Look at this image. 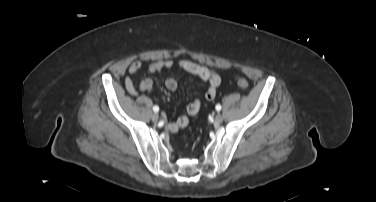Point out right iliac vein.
<instances>
[{
  "label": "right iliac vein",
  "instance_id": "obj_1",
  "mask_svg": "<svg viewBox=\"0 0 376 202\" xmlns=\"http://www.w3.org/2000/svg\"><path fill=\"white\" fill-rule=\"evenodd\" d=\"M158 119H159V115H158L157 113H154V114L152 115V121H153V122H157Z\"/></svg>",
  "mask_w": 376,
  "mask_h": 202
}]
</instances>
